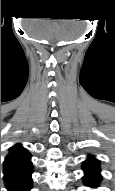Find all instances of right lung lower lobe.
Masks as SVG:
<instances>
[{"instance_id":"1","label":"right lung lower lobe","mask_w":115,"mask_h":191,"mask_svg":"<svg viewBox=\"0 0 115 191\" xmlns=\"http://www.w3.org/2000/svg\"><path fill=\"white\" fill-rule=\"evenodd\" d=\"M33 169L22 172L4 173V182L8 191H29L32 188Z\"/></svg>"}]
</instances>
